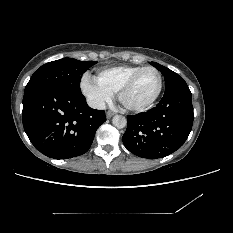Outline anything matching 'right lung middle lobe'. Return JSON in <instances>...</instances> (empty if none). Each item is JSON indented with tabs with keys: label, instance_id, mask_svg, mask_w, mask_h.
Listing matches in <instances>:
<instances>
[{
	"label": "right lung middle lobe",
	"instance_id": "obj_1",
	"mask_svg": "<svg viewBox=\"0 0 233 233\" xmlns=\"http://www.w3.org/2000/svg\"><path fill=\"white\" fill-rule=\"evenodd\" d=\"M96 63L67 57L46 63L34 72L24 94L42 87H60L79 92L81 75Z\"/></svg>",
	"mask_w": 233,
	"mask_h": 233
}]
</instances>
